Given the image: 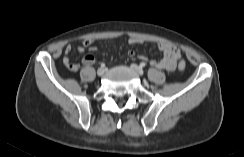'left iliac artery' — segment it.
Segmentation results:
<instances>
[{
    "label": "left iliac artery",
    "mask_w": 244,
    "mask_h": 157,
    "mask_svg": "<svg viewBox=\"0 0 244 157\" xmlns=\"http://www.w3.org/2000/svg\"><path fill=\"white\" fill-rule=\"evenodd\" d=\"M143 67H145V63L144 62H141L140 63V68H143Z\"/></svg>",
    "instance_id": "obj_1"
}]
</instances>
